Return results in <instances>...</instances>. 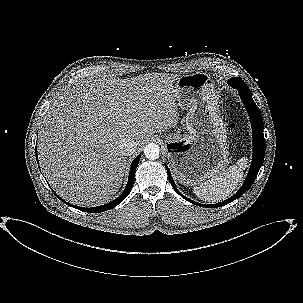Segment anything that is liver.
I'll use <instances>...</instances> for the list:
<instances>
[{
  "label": "liver",
  "instance_id": "6515ba94",
  "mask_svg": "<svg viewBox=\"0 0 303 303\" xmlns=\"http://www.w3.org/2000/svg\"><path fill=\"white\" fill-rule=\"evenodd\" d=\"M177 77L98 75L57 95L38 137L39 161L55 192L78 206L110 200L127 170L122 140L131 138L140 146L176 125Z\"/></svg>",
  "mask_w": 303,
  "mask_h": 303
}]
</instances>
